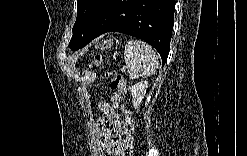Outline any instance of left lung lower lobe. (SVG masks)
Instances as JSON below:
<instances>
[{"label":"left lung lower lobe","instance_id":"0a47b994","mask_svg":"<svg viewBox=\"0 0 247 156\" xmlns=\"http://www.w3.org/2000/svg\"><path fill=\"white\" fill-rule=\"evenodd\" d=\"M174 10L175 0H109L90 28L85 45L106 32H120L152 45L164 64L170 49Z\"/></svg>","mask_w":247,"mask_h":156}]
</instances>
